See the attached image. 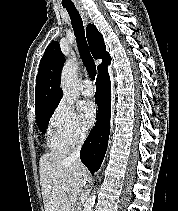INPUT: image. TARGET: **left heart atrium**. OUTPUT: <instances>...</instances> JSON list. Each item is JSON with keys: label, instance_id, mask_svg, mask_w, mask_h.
I'll return each instance as SVG.
<instances>
[{"label": "left heart atrium", "instance_id": "39dd6f15", "mask_svg": "<svg viewBox=\"0 0 178 211\" xmlns=\"http://www.w3.org/2000/svg\"><path fill=\"white\" fill-rule=\"evenodd\" d=\"M80 117L82 123L86 127H90L94 124L97 114V108L93 101L85 100L80 103Z\"/></svg>", "mask_w": 178, "mask_h": 211}]
</instances>
